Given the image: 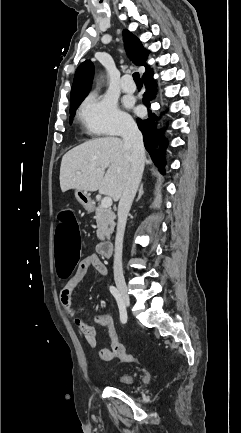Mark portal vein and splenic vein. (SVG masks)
<instances>
[{
	"label": "portal vein and splenic vein",
	"instance_id": "portal-vein-and-splenic-vein-1",
	"mask_svg": "<svg viewBox=\"0 0 241 433\" xmlns=\"http://www.w3.org/2000/svg\"><path fill=\"white\" fill-rule=\"evenodd\" d=\"M101 206L104 208H110L112 206L111 197H104L101 201Z\"/></svg>",
	"mask_w": 241,
	"mask_h": 433
}]
</instances>
